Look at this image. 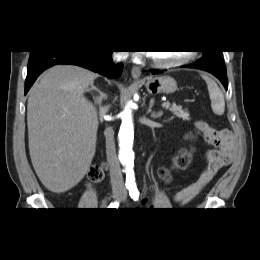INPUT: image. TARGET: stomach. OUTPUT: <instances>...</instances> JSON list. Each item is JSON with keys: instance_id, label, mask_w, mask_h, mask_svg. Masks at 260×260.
Instances as JSON below:
<instances>
[{"instance_id": "0dacf381", "label": "stomach", "mask_w": 260, "mask_h": 260, "mask_svg": "<svg viewBox=\"0 0 260 260\" xmlns=\"http://www.w3.org/2000/svg\"><path fill=\"white\" fill-rule=\"evenodd\" d=\"M145 87L150 94H172L177 90V82L170 76L150 77Z\"/></svg>"}]
</instances>
